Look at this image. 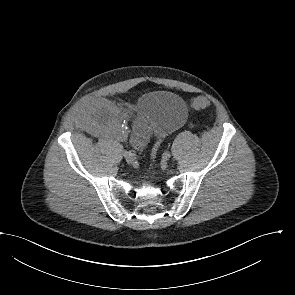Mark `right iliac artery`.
Masks as SVG:
<instances>
[{
  "label": "right iliac artery",
  "mask_w": 295,
  "mask_h": 295,
  "mask_svg": "<svg viewBox=\"0 0 295 295\" xmlns=\"http://www.w3.org/2000/svg\"><path fill=\"white\" fill-rule=\"evenodd\" d=\"M124 154H128L130 156H134L135 155V151L134 150L125 151Z\"/></svg>",
  "instance_id": "right-iliac-artery-1"
}]
</instances>
